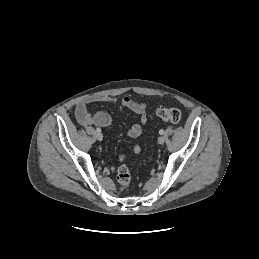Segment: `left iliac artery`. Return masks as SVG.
I'll list each match as a JSON object with an SVG mask.
<instances>
[{"mask_svg": "<svg viewBox=\"0 0 259 259\" xmlns=\"http://www.w3.org/2000/svg\"><path fill=\"white\" fill-rule=\"evenodd\" d=\"M159 134H164V130L163 129H161L160 131H159Z\"/></svg>", "mask_w": 259, "mask_h": 259, "instance_id": "44dca946", "label": "left iliac artery"}]
</instances>
